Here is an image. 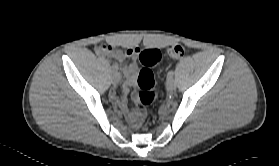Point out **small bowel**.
I'll use <instances>...</instances> for the list:
<instances>
[{"label": "small bowel", "instance_id": "c3829d8e", "mask_svg": "<svg viewBox=\"0 0 279 166\" xmlns=\"http://www.w3.org/2000/svg\"><path fill=\"white\" fill-rule=\"evenodd\" d=\"M97 53L99 55H102V56H107V57L114 58L118 61H122L125 58L134 57L138 53V49L129 48L126 51H121V50L114 49L110 45H101L97 49ZM124 72H125V75H126V81L124 83V100H125L127 94L129 93L130 89L133 87V85L135 83V78H136V74H137V67L133 63L128 64L125 67ZM110 98L113 102H115L117 104H121V102H120L118 96L116 95L115 91L111 92ZM129 119H130L132 124L136 125L139 121V118L137 116V111L130 113L129 114Z\"/></svg>", "mask_w": 279, "mask_h": 166}]
</instances>
